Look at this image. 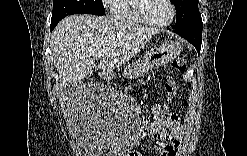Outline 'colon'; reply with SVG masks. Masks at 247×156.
Returning <instances> with one entry per match:
<instances>
[{
  "label": "colon",
  "instance_id": "obj_1",
  "mask_svg": "<svg viewBox=\"0 0 247 156\" xmlns=\"http://www.w3.org/2000/svg\"><path fill=\"white\" fill-rule=\"evenodd\" d=\"M187 60L184 55L177 56L171 65V72H182L186 69ZM165 91L167 94L166 103H171V98L175 97L178 92L177 84L171 74L166 76ZM150 116H147L148 127L144 131L145 137L154 139L159 135V130H163L165 118L168 117L166 112H171V107H150Z\"/></svg>",
  "mask_w": 247,
  "mask_h": 156
}]
</instances>
